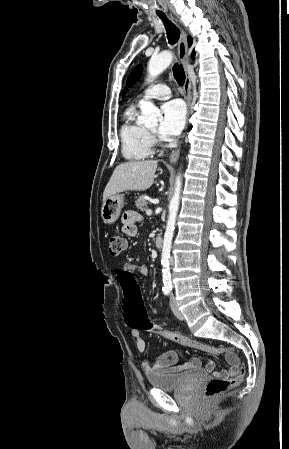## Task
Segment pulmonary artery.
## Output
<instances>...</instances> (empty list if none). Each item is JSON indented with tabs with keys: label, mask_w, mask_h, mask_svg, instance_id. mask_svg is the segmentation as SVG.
<instances>
[{
	"label": "pulmonary artery",
	"mask_w": 289,
	"mask_h": 449,
	"mask_svg": "<svg viewBox=\"0 0 289 449\" xmlns=\"http://www.w3.org/2000/svg\"><path fill=\"white\" fill-rule=\"evenodd\" d=\"M170 94V88L166 84L157 83L147 88L141 97L142 99H166Z\"/></svg>",
	"instance_id": "pulmonary-artery-1"
}]
</instances>
